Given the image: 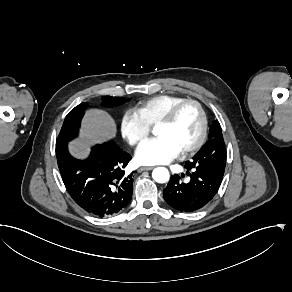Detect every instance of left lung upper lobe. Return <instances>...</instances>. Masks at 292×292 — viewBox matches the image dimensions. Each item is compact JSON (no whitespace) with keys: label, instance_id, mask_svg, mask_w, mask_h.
<instances>
[{"label":"left lung upper lobe","instance_id":"5c2ea615","mask_svg":"<svg viewBox=\"0 0 292 292\" xmlns=\"http://www.w3.org/2000/svg\"><path fill=\"white\" fill-rule=\"evenodd\" d=\"M203 171L224 172L226 165V149L219 122L216 120L210 128L209 139L193 157L186 162Z\"/></svg>","mask_w":292,"mask_h":292}]
</instances>
